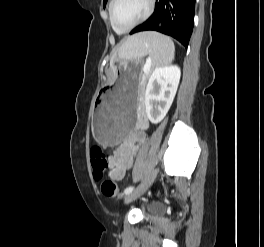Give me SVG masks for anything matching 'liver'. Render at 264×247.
<instances>
[{
    "label": "liver",
    "mask_w": 264,
    "mask_h": 247,
    "mask_svg": "<svg viewBox=\"0 0 264 247\" xmlns=\"http://www.w3.org/2000/svg\"><path fill=\"white\" fill-rule=\"evenodd\" d=\"M137 35H139V34H137ZM137 35H134V36L130 37L127 41L134 39ZM127 41H126L125 43H127ZM125 43H124V44H125ZM122 47H123V46H122ZM122 47H121V48H122Z\"/></svg>",
    "instance_id": "obj_1"
}]
</instances>
